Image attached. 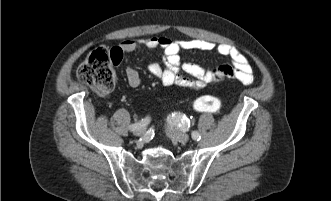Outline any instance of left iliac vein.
Instances as JSON below:
<instances>
[{"label":"left iliac vein","instance_id":"4c4485c4","mask_svg":"<svg viewBox=\"0 0 331 201\" xmlns=\"http://www.w3.org/2000/svg\"><path fill=\"white\" fill-rule=\"evenodd\" d=\"M171 138L174 141L180 142V143H186L189 141V135L185 134V133H177V134H173L171 135Z\"/></svg>","mask_w":331,"mask_h":201}]
</instances>
